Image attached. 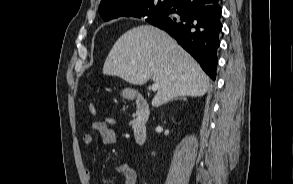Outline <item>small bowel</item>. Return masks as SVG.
Here are the masks:
<instances>
[{
    "mask_svg": "<svg viewBox=\"0 0 293 184\" xmlns=\"http://www.w3.org/2000/svg\"><path fill=\"white\" fill-rule=\"evenodd\" d=\"M118 124L117 120L112 117H106L100 120H96L92 123L91 127L94 131L98 132L101 141L105 145L115 144L117 141L114 126ZM83 143L85 146H90L93 142V136L91 133L84 134ZM117 173L122 174L125 177V184L137 183V172L129 163H121L115 167ZM84 175L88 181L91 180L92 174L89 168H85Z\"/></svg>",
    "mask_w": 293,
    "mask_h": 184,
    "instance_id": "obj_1",
    "label": "small bowel"
}]
</instances>
